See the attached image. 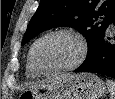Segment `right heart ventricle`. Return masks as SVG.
I'll use <instances>...</instances> for the list:
<instances>
[{"instance_id": "obj_1", "label": "right heart ventricle", "mask_w": 115, "mask_h": 99, "mask_svg": "<svg viewBox=\"0 0 115 99\" xmlns=\"http://www.w3.org/2000/svg\"><path fill=\"white\" fill-rule=\"evenodd\" d=\"M26 75L29 78H35L38 76V74L35 72V70L33 69L32 65H31L29 54H28L27 60H26Z\"/></svg>"}]
</instances>
